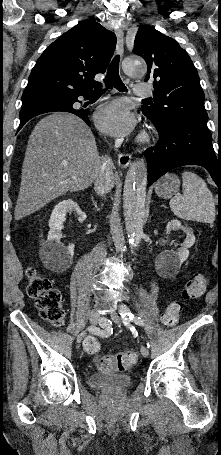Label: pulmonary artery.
I'll return each mask as SVG.
<instances>
[{"mask_svg": "<svg viewBox=\"0 0 221 455\" xmlns=\"http://www.w3.org/2000/svg\"><path fill=\"white\" fill-rule=\"evenodd\" d=\"M133 93L137 96L148 97L152 95V89L148 84H136Z\"/></svg>", "mask_w": 221, "mask_h": 455, "instance_id": "1", "label": "pulmonary artery"}]
</instances>
